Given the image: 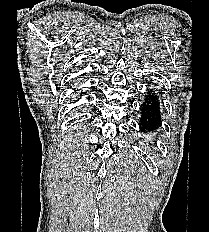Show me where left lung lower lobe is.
Masks as SVG:
<instances>
[{
  "label": "left lung lower lobe",
  "mask_w": 209,
  "mask_h": 232,
  "mask_svg": "<svg viewBox=\"0 0 209 232\" xmlns=\"http://www.w3.org/2000/svg\"><path fill=\"white\" fill-rule=\"evenodd\" d=\"M140 132L147 135L161 127L160 102L153 88H148L140 108Z\"/></svg>",
  "instance_id": "0a47b994"
}]
</instances>
